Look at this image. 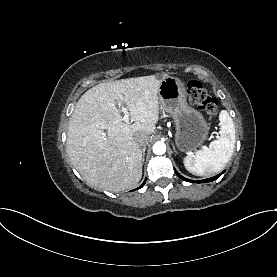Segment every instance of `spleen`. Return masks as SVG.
<instances>
[{
  "label": "spleen",
  "mask_w": 277,
  "mask_h": 277,
  "mask_svg": "<svg viewBox=\"0 0 277 277\" xmlns=\"http://www.w3.org/2000/svg\"><path fill=\"white\" fill-rule=\"evenodd\" d=\"M220 136L208 148L184 158L185 168L198 176H211L221 171L232 157L235 148V126L226 110L219 114Z\"/></svg>",
  "instance_id": "3e777b00"
}]
</instances>
